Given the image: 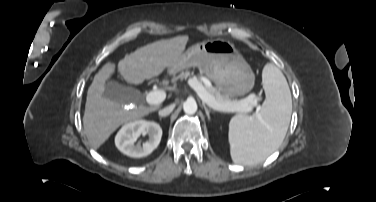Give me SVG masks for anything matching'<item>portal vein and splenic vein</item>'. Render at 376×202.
<instances>
[{
    "label": "portal vein and splenic vein",
    "instance_id": "1",
    "mask_svg": "<svg viewBox=\"0 0 376 202\" xmlns=\"http://www.w3.org/2000/svg\"><path fill=\"white\" fill-rule=\"evenodd\" d=\"M204 83L208 87L211 86V83L207 79L204 81ZM189 85L196 91L203 102L217 111L249 113L252 111V107L256 106L257 104V98L254 95H250L240 101H219L215 99L210 93H208L204 86L197 79L189 80ZM165 98L166 94L161 90L151 91L146 95V101L149 104L154 105L162 103Z\"/></svg>",
    "mask_w": 376,
    "mask_h": 202
}]
</instances>
